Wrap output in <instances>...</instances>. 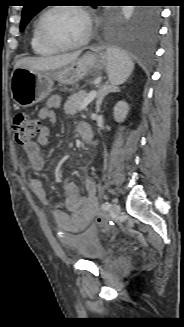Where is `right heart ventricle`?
I'll return each instance as SVG.
<instances>
[{
  "label": "right heart ventricle",
  "instance_id": "e07e8e85",
  "mask_svg": "<svg viewBox=\"0 0 184 327\" xmlns=\"http://www.w3.org/2000/svg\"><path fill=\"white\" fill-rule=\"evenodd\" d=\"M38 20L34 23V26L32 28L31 39H30L31 48L34 51V53H36L37 55H41V56L53 55L57 51L45 45L39 37L38 29H37Z\"/></svg>",
  "mask_w": 184,
  "mask_h": 327
}]
</instances>
